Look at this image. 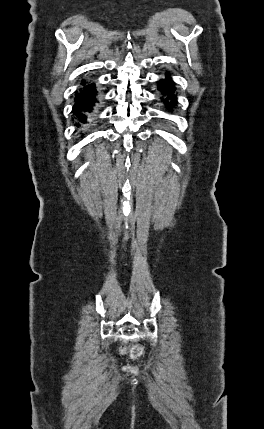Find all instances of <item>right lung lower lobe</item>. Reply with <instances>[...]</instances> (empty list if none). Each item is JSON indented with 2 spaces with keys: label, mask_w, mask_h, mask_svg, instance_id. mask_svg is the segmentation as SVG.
<instances>
[{
  "label": "right lung lower lobe",
  "mask_w": 264,
  "mask_h": 429,
  "mask_svg": "<svg viewBox=\"0 0 264 429\" xmlns=\"http://www.w3.org/2000/svg\"><path fill=\"white\" fill-rule=\"evenodd\" d=\"M83 87L75 94V105L72 112L82 123L86 121V113L92 111L93 106L97 102L95 84H87L82 81Z\"/></svg>",
  "instance_id": "1"
}]
</instances>
